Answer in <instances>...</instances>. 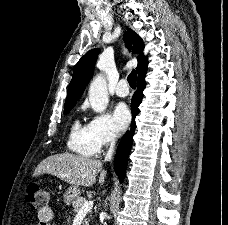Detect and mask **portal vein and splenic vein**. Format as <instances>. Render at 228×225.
Segmentation results:
<instances>
[{"label": "portal vein and splenic vein", "instance_id": "18ae733b", "mask_svg": "<svg viewBox=\"0 0 228 225\" xmlns=\"http://www.w3.org/2000/svg\"><path fill=\"white\" fill-rule=\"evenodd\" d=\"M93 205H94L93 201H86L83 207H81L78 215H83V213H87V211H90V209H92Z\"/></svg>", "mask_w": 228, "mask_h": 225}]
</instances>
